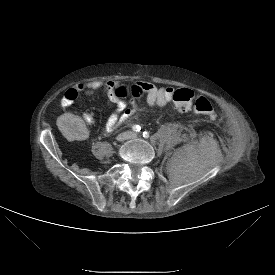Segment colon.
Returning <instances> with one entry per match:
<instances>
[{
  "mask_svg": "<svg viewBox=\"0 0 275 275\" xmlns=\"http://www.w3.org/2000/svg\"><path fill=\"white\" fill-rule=\"evenodd\" d=\"M116 94L120 97L130 95L133 98H138L141 96L142 90L136 86L131 87L130 91L126 88H119ZM173 100L177 109L181 112L193 110L211 119L216 117V108L211 100L205 95L196 94L191 89H178L173 95Z\"/></svg>",
  "mask_w": 275,
  "mask_h": 275,
  "instance_id": "colon-1",
  "label": "colon"
}]
</instances>
